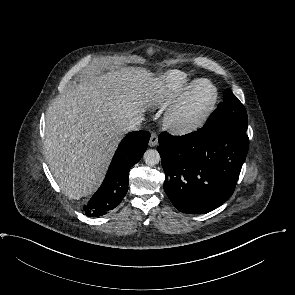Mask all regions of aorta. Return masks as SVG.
Returning a JSON list of instances; mask_svg holds the SVG:
<instances>
[{"label":"aorta","instance_id":"aorta-1","mask_svg":"<svg viewBox=\"0 0 295 295\" xmlns=\"http://www.w3.org/2000/svg\"><path fill=\"white\" fill-rule=\"evenodd\" d=\"M144 161L148 166H154L160 162V155L157 150L149 149L144 154Z\"/></svg>","mask_w":295,"mask_h":295}]
</instances>
